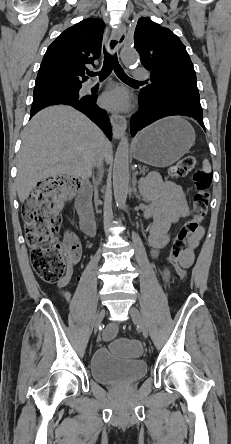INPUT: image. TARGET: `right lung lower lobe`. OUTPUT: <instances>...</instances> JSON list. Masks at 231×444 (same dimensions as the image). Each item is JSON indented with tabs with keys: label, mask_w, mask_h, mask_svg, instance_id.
I'll list each match as a JSON object with an SVG mask.
<instances>
[{
	"label": "right lung lower lobe",
	"mask_w": 231,
	"mask_h": 444,
	"mask_svg": "<svg viewBox=\"0 0 231 444\" xmlns=\"http://www.w3.org/2000/svg\"><path fill=\"white\" fill-rule=\"evenodd\" d=\"M97 95L78 96L63 92H46L34 95L31 106V115H35L41 109L55 104H65L73 106L86 114L94 123H96L111 140L112 129L106 112L96 105Z\"/></svg>",
	"instance_id": "98d812e1"
}]
</instances>
